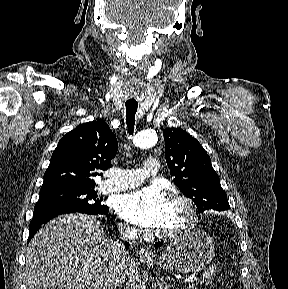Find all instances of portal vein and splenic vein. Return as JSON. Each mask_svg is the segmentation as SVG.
Wrapping results in <instances>:
<instances>
[{"label": "portal vein and splenic vein", "mask_w": 288, "mask_h": 289, "mask_svg": "<svg viewBox=\"0 0 288 289\" xmlns=\"http://www.w3.org/2000/svg\"><path fill=\"white\" fill-rule=\"evenodd\" d=\"M206 275V274H205ZM198 281V278L195 277L194 279L191 280V285H193L194 283H196Z\"/></svg>", "instance_id": "18ae733b"}]
</instances>
